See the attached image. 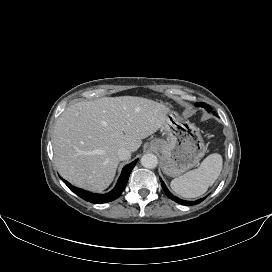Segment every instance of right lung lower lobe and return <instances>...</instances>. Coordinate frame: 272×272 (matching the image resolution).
Masks as SVG:
<instances>
[{
    "instance_id": "98d812e1",
    "label": "right lung lower lobe",
    "mask_w": 272,
    "mask_h": 272,
    "mask_svg": "<svg viewBox=\"0 0 272 272\" xmlns=\"http://www.w3.org/2000/svg\"><path fill=\"white\" fill-rule=\"evenodd\" d=\"M136 162H137V160L133 161L132 163L126 165L123 168L122 173L118 179V182H117L115 188L106 194L90 193V192H87L83 189L76 188V187L72 186L69 182H67L66 180H64L62 178L61 179L69 187V189H71L75 194H77L79 197L85 199L86 201L92 202L95 204L106 203V202H110V201L117 199L120 196V194L123 192V190L125 189L126 184L128 182L129 175H130L132 169L134 168Z\"/></svg>"
}]
</instances>
